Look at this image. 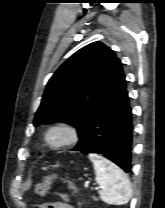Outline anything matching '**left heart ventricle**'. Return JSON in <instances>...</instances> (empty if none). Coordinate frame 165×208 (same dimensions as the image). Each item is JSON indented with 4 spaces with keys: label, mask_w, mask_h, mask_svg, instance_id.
<instances>
[{
    "label": "left heart ventricle",
    "mask_w": 165,
    "mask_h": 208,
    "mask_svg": "<svg viewBox=\"0 0 165 208\" xmlns=\"http://www.w3.org/2000/svg\"><path fill=\"white\" fill-rule=\"evenodd\" d=\"M61 138H62L61 133H54L50 136V141L51 142H56V141H59Z\"/></svg>",
    "instance_id": "b2bd125f"
}]
</instances>
